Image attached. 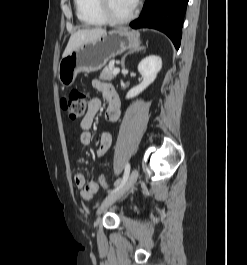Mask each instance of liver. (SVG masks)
I'll return each instance as SVG.
<instances>
[{"instance_id": "1", "label": "liver", "mask_w": 247, "mask_h": 265, "mask_svg": "<svg viewBox=\"0 0 247 265\" xmlns=\"http://www.w3.org/2000/svg\"><path fill=\"white\" fill-rule=\"evenodd\" d=\"M104 33H106V30L102 28L79 30L73 33L69 39V42L65 48L62 57H66L83 43H87L89 41L97 39Z\"/></svg>"}]
</instances>
